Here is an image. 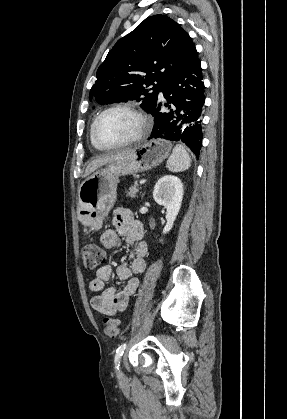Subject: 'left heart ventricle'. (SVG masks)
<instances>
[{"instance_id": "1", "label": "left heart ventricle", "mask_w": 287, "mask_h": 419, "mask_svg": "<svg viewBox=\"0 0 287 419\" xmlns=\"http://www.w3.org/2000/svg\"><path fill=\"white\" fill-rule=\"evenodd\" d=\"M138 118L126 110H114L105 114L97 125L98 138L106 143H119L132 138L138 131Z\"/></svg>"}]
</instances>
